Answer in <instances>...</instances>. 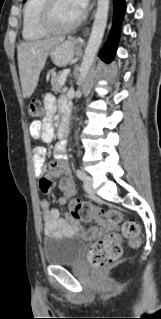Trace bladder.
<instances>
[{
	"mask_svg": "<svg viewBox=\"0 0 161 319\" xmlns=\"http://www.w3.org/2000/svg\"><path fill=\"white\" fill-rule=\"evenodd\" d=\"M84 240L77 235L46 236L43 240L44 262L47 265L76 264L83 256Z\"/></svg>",
	"mask_w": 161,
	"mask_h": 319,
	"instance_id": "obj_1",
	"label": "bladder"
}]
</instances>
